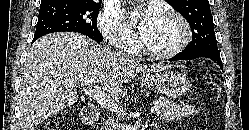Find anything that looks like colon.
Masks as SVG:
<instances>
[{"instance_id":"1","label":"colon","mask_w":249,"mask_h":130,"mask_svg":"<svg viewBox=\"0 0 249 130\" xmlns=\"http://www.w3.org/2000/svg\"><path fill=\"white\" fill-rule=\"evenodd\" d=\"M44 130H58V126H57V120L53 119L51 121H49Z\"/></svg>"}]
</instances>
